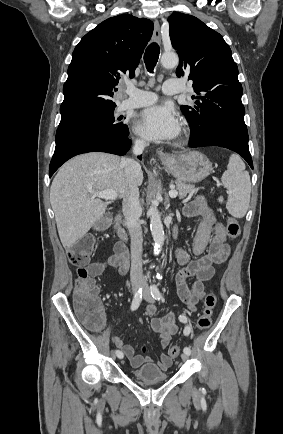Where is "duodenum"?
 <instances>
[{
    "instance_id": "obj_1",
    "label": "duodenum",
    "mask_w": 283,
    "mask_h": 434,
    "mask_svg": "<svg viewBox=\"0 0 283 434\" xmlns=\"http://www.w3.org/2000/svg\"><path fill=\"white\" fill-rule=\"evenodd\" d=\"M114 230H115L116 234L118 235V237L120 238V242L118 244L121 246L122 250L128 254L127 248H126V242H127L128 236H127L126 230L123 227L122 217L120 215H117L115 218Z\"/></svg>"
}]
</instances>
